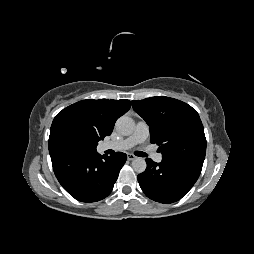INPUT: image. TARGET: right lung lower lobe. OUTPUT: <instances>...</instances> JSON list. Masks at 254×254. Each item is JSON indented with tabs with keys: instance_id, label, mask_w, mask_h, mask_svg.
Returning <instances> with one entry per match:
<instances>
[{
	"instance_id": "right-lung-lower-lobe-1",
	"label": "right lung lower lobe",
	"mask_w": 254,
	"mask_h": 254,
	"mask_svg": "<svg viewBox=\"0 0 254 254\" xmlns=\"http://www.w3.org/2000/svg\"><path fill=\"white\" fill-rule=\"evenodd\" d=\"M126 154L61 152L51 156L54 173L62 187L81 202L107 197L125 164Z\"/></svg>"
}]
</instances>
